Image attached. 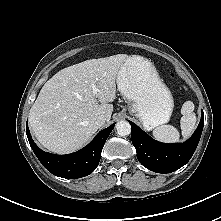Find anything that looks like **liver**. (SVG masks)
<instances>
[{
	"mask_svg": "<svg viewBox=\"0 0 221 221\" xmlns=\"http://www.w3.org/2000/svg\"><path fill=\"white\" fill-rule=\"evenodd\" d=\"M126 54L91 59L57 72L42 87L29 112V125L39 143L57 154L84 146L111 119L116 80ZM92 84L98 88L93 94ZM100 103V104H99Z\"/></svg>",
	"mask_w": 221,
	"mask_h": 221,
	"instance_id": "liver-1",
	"label": "liver"
}]
</instances>
